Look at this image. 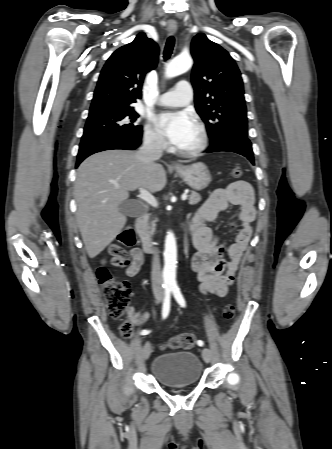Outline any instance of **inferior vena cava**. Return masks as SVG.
<instances>
[{"mask_svg": "<svg viewBox=\"0 0 332 449\" xmlns=\"http://www.w3.org/2000/svg\"><path fill=\"white\" fill-rule=\"evenodd\" d=\"M164 145L165 141L163 137L160 136L149 137L144 140L142 147H140V149L136 153V157L144 164L147 165L152 164L154 161L161 158ZM151 281L153 293L156 296L162 295L163 280L161 273L160 258L157 253L153 255Z\"/></svg>", "mask_w": 332, "mask_h": 449, "instance_id": "602c4592", "label": "inferior vena cava"}]
</instances>
